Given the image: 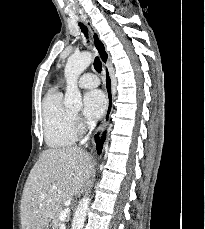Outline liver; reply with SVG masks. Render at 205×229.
<instances>
[{
  "instance_id": "6515ba94",
  "label": "liver",
  "mask_w": 205,
  "mask_h": 229,
  "mask_svg": "<svg viewBox=\"0 0 205 229\" xmlns=\"http://www.w3.org/2000/svg\"><path fill=\"white\" fill-rule=\"evenodd\" d=\"M92 157L79 147L47 149L33 166L21 199L23 229H44L57 209L90 178Z\"/></svg>"
}]
</instances>
